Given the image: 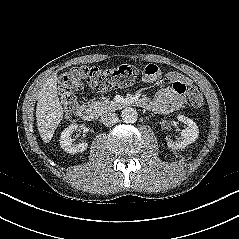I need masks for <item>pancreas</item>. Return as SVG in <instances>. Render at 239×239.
Instances as JSON below:
<instances>
[{
    "label": "pancreas",
    "instance_id": "pancreas-1",
    "mask_svg": "<svg viewBox=\"0 0 239 239\" xmlns=\"http://www.w3.org/2000/svg\"><path fill=\"white\" fill-rule=\"evenodd\" d=\"M91 105L97 111L106 112V111L114 109L115 106H116V103L114 101L109 100V99H105V100H101V101H95Z\"/></svg>",
    "mask_w": 239,
    "mask_h": 239
}]
</instances>
